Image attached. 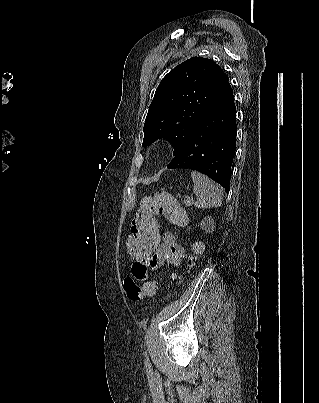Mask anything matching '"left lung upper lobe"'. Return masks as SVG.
<instances>
[{
    "label": "left lung upper lobe",
    "mask_w": 319,
    "mask_h": 403,
    "mask_svg": "<svg viewBox=\"0 0 319 403\" xmlns=\"http://www.w3.org/2000/svg\"><path fill=\"white\" fill-rule=\"evenodd\" d=\"M228 80L219 65L202 57H192L171 70L160 82L149 106L143 146L165 138L175 147L174 156L179 155Z\"/></svg>",
    "instance_id": "5c2ea615"
}]
</instances>
